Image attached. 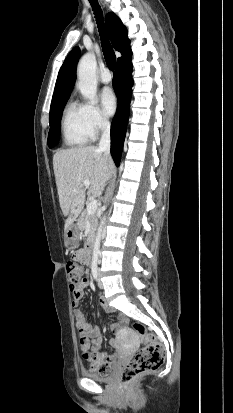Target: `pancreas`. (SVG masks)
I'll return each instance as SVG.
<instances>
[{
  "label": "pancreas",
  "instance_id": "obj_1",
  "mask_svg": "<svg viewBox=\"0 0 233 413\" xmlns=\"http://www.w3.org/2000/svg\"><path fill=\"white\" fill-rule=\"evenodd\" d=\"M87 222L90 224L89 233L87 237V243H90L95 236V231L98 224V217L94 213L92 215H88L87 210L83 211L80 217L77 220V225L81 231L86 230Z\"/></svg>",
  "mask_w": 233,
  "mask_h": 413
}]
</instances>
